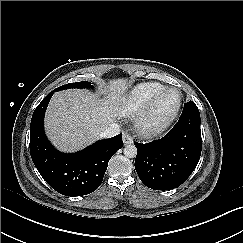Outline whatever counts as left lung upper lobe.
Listing matches in <instances>:
<instances>
[{"label":"left lung upper lobe","mask_w":243,"mask_h":243,"mask_svg":"<svg viewBox=\"0 0 243 243\" xmlns=\"http://www.w3.org/2000/svg\"><path fill=\"white\" fill-rule=\"evenodd\" d=\"M186 105H189V106H196V104H195L194 102H192V101H189V102L186 103L184 106H186Z\"/></svg>","instance_id":"obj_1"}]
</instances>
